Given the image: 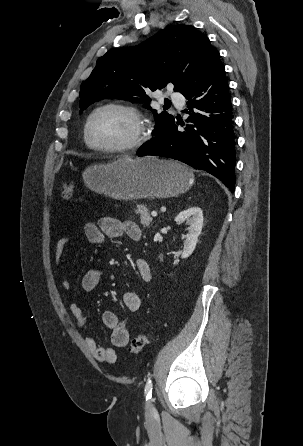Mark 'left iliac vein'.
<instances>
[{
    "instance_id": "1",
    "label": "left iliac vein",
    "mask_w": 303,
    "mask_h": 446,
    "mask_svg": "<svg viewBox=\"0 0 303 446\" xmlns=\"http://www.w3.org/2000/svg\"><path fill=\"white\" fill-rule=\"evenodd\" d=\"M147 410H148V411H151V410H152V406H151L150 402L147 403Z\"/></svg>"
}]
</instances>
